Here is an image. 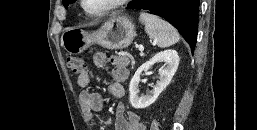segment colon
Returning a JSON list of instances; mask_svg holds the SVG:
<instances>
[{
    "label": "colon",
    "instance_id": "1",
    "mask_svg": "<svg viewBox=\"0 0 257 130\" xmlns=\"http://www.w3.org/2000/svg\"><path fill=\"white\" fill-rule=\"evenodd\" d=\"M67 65L74 73L78 74L82 73L86 69L83 59L75 55H69L67 57ZM161 128L159 119H153L150 124V130H161Z\"/></svg>",
    "mask_w": 257,
    "mask_h": 130
}]
</instances>
